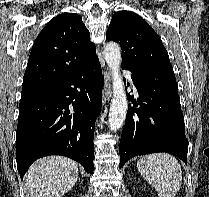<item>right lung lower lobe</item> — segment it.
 Instances as JSON below:
<instances>
[{
    "mask_svg": "<svg viewBox=\"0 0 209 197\" xmlns=\"http://www.w3.org/2000/svg\"><path fill=\"white\" fill-rule=\"evenodd\" d=\"M103 83L96 58L58 83L21 94L16 149L22 177L36 159L48 155L69 157L93 172Z\"/></svg>",
    "mask_w": 209,
    "mask_h": 197,
    "instance_id": "98d812e1",
    "label": "right lung lower lobe"
}]
</instances>
